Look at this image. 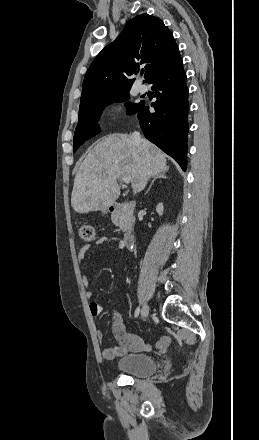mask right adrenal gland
I'll list each match as a JSON object with an SVG mask.
<instances>
[{"label": "right adrenal gland", "instance_id": "obj_1", "mask_svg": "<svg viewBox=\"0 0 259 440\" xmlns=\"http://www.w3.org/2000/svg\"><path fill=\"white\" fill-rule=\"evenodd\" d=\"M165 173H166V171H163V172H161V173H159V174H157L156 176L153 177V179L151 181V184L149 185V187H148V189H147L145 194H147L150 191V189H151V187L154 184L156 179H161V178L162 179H166L167 178Z\"/></svg>", "mask_w": 259, "mask_h": 440}]
</instances>
